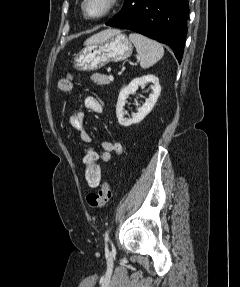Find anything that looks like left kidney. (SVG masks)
I'll return each mask as SVG.
<instances>
[{"instance_id": "left-kidney-1", "label": "left kidney", "mask_w": 240, "mask_h": 287, "mask_svg": "<svg viewBox=\"0 0 240 287\" xmlns=\"http://www.w3.org/2000/svg\"><path fill=\"white\" fill-rule=\"evenodd\" d=\"M147 83L153 84V93L149 95L142 107L138 109V113L133 114L131 118H126L124 111V106L126 99L130 94L137 91L139 86L145 85ZM161 92V86L159 84L158 77L154 75H145L139 78L133 79L126 87H124L118 96V102L116 105V116L120 125L128 127L132 124L140 123L153 109L155 103Z\"/></svg>"}]
</instances>
